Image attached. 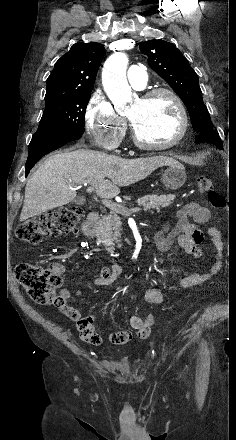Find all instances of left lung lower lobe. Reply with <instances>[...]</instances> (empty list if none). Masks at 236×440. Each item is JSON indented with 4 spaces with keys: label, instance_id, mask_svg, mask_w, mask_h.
<instances>
[{
    "label": "left lung lower lobe",
    "instance_id": "obj_1",
    "mask_svg": "<svg viewBox=\"0 0 236 440\" xmlns=\"http://www.w3.org/2000/svg\"><path fill=\"white\" fill-rule=\"evenodd\" d=\"M195 142L196 144L205 142L211 143L217 146L220 150L222 149L221 139L214 129H208L206 131L200 132Z\"/></svg>",
    "mask_w": 236,
    "mask_h": 440
}]
</instances>
